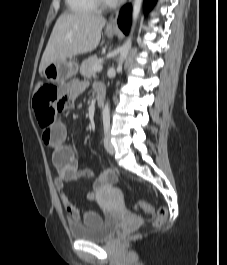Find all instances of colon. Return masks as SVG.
I'll list each match as a JSON object with an SVG mask.
<instances>
[{"label": "colon", "mask_w": 227, "mask_h": 265, "mask_svg": "<svg viewBox=\"0 0 227 265\" xmlns=\"http://www.w3.org/2000/svg\"><path fill=\"white\" fill-rule=\"evenodd\" d=\"M59 99H65V97L58 86L44 82H37L35 84L33 107L42 129L48 128L54 122L58 112ZM135 208L154 215L153 224L155 227H161L167 218V209L163 206L155 213L154 209L147 202L139 201L136 203Z\"/></svg>", "instance_id": "colon-1"}]
</instances>
